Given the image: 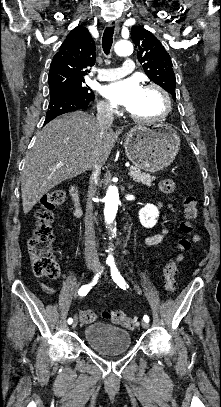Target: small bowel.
<instances>
[{
    "label": "small bowel",
    "instance_id": "c3829d8e",
    "mask_svg": "<svg viewBox=\"0 0 221 407\" xmlns=\"http://www.w3.org/2000/svg\"><path fill=\"white\" fill-rule=\"evenodd\" d=\"M162 217L165 218V214H163ZM166 234H167V230H165V229L161 230L158 234H155L148 239V244L153 245V244L159 243ZM199 239H200L199 235L196 234L194 236V240L198 241ZM58 277H60L59 271H58ZM40 286L47 294L52 295V296L56 294V290L53 287H51L50 285H48L47 283L41 282Z\"/></svg>",
    "mask_w": 221,
    "mask_h": 407
}]
</instances>
